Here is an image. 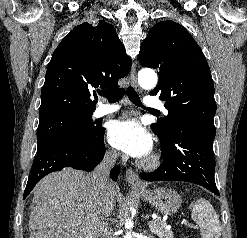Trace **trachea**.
<instances>
[{
	"mask_svg": "<svg viewBox=\"0 0 247 238\" xmlns=\"http://www.w3.org/2000/svg\"><path fill=\"white\" fill-rule=\"evenodd\" d=\"M125 92L129 100L133 104L137 106H142L139 95L132 87H128L126 90L123 88L114 90V91L105 90V91L100 92V95L106 97L110 103H114V102H118L122 98V96L125 94Z\"/></svg>",
	"mask_w": 247,
	"mask_h": 238,
	"instance_id": "obj_1",
	"label": "trachea"
}]
</instances>
